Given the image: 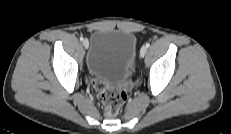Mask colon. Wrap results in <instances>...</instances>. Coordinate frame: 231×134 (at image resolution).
<instances>
[{"label":"colon","mask_w":231,"mask_h":134,"mask_svg":"<svg viewBox=\"0 0 231 134\" xmlns=\"http://www.w3.org/2000/svg\"><path fill=\"white\" fill-rule=\"evenodd\" d=\"M93 85L98 92L99 99L104 106L107 116H115L119 113L132 86L131 82H127L121 88H111L97 80L93 81Z\"/></svg>","instance_id":"obj_1"}]
</instances>
